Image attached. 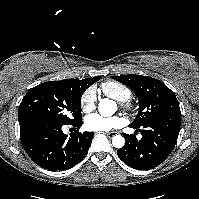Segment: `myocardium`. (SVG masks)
Here are the masks:
<instances>
[{"label":"myocardium","instance_id":"1","mask_svg":"<svg viewBox=\"0 0 199 199\" xmlns=\"http://www.w3.org/2000/svg\"><path fill=\"white\" fill-rule=\"evenodd\" d=\"M122 107L125 110H131L132 109V104L129 101H124L121 103Z\"/></svg>","mask_w":199,"mask_h":199}]
</instances>
